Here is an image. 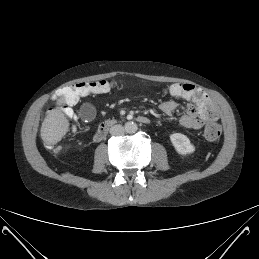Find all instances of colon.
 Segmentation results:
<instances>
[{
  "mask_svg": "<svg viewBox=\"0 0 259 259\" xmlns=\"http://www.w3.org/2000/svg\"><path fill=\"white\" fill-rule=\"evenodd\" d=\"M114 86L112 82L107 80H95L89 82H82L73 86L63 87L58 91L57 97L62 99L68 106L64 107V112L69 119H74V113L69 108L80 99V97L92 94H104L111 90ZM166 92L171 96H182L185 99H191L197 96L200 100H206L208 93L200 89L197 91L196 87L191 84H173L166 89ZM221 135V127L215 122L207 124L204 130V136L209 141H216Z\"/></svg>",
  "mask_w": 259,
  "mask_h": 259,
  "instance_id": "5ec220e1",
  "label": "colon"
}]
</instances>
